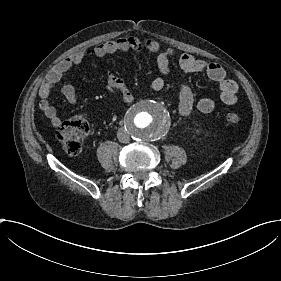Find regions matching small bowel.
Masks as SVG:
<instances>
[{
    "label": "small bowel",
    "instance_id": "obj_1",
    "mask_svg": "<svg viewBox=\"0 0 281 281\" xmlns=\"http://www.w3.org/2000/svg\"><path fill=\"white\" fill-rule=\"evenodd\" d=\"M146 49L152 52L160 50V43L154 39H141L135 36H125L105 41L99 45L85 47L78 50L64 61H61L43 82L40 89L39 108L48 119L49 123L56 128L63 126V119L58 115L56 109L50 102V96L56 84H58L65 73L75 65L80 64L92 57L105 56L119 51H134ZM176 59L179 69L186 72H205L220 86V98L226 105H234L237 101L238 84L227 78L224 69L217 63L197 59L190 54L176 56L173 49H165L159 52L157 59V70L159 76L153 79L151 87L155 91H161L165 87V77L170 75L171 61ZM106 87L113 95H120L124 102L133 101L134 97L125 82L112 71H106ZM179 95V109L183 116H188L193 108V93L190 85L184 81L177 83ZM62 93L70 105L77 103L76 88L73 84H66ZM216 106L212 97H203L197 102V108L203 112H211Z\"/></svg>",
    "mask_w": 281,
    "mask_h": 281
}]
</instances>
